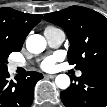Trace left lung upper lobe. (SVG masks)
Wrapping results in <instances>:
<instances>
[{
    "label": "left lung upper lobe",
    "mask_w": 107,
    "mask_h": 107,
    "mask_svg": "<svg viewBox=\"0 0 107 107\" xmlns=\"http://www.w3.org/2000/svg\"><path fill=\"white\" fill-rule=\"evenodd\" d=\"M46 21L59 25L71 43L67 57L81 71L107 72V18L80 6L45 14Z\"/></svg>",
    "instance_id": "5c2ea615"
}]
</instances>
